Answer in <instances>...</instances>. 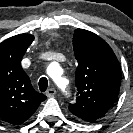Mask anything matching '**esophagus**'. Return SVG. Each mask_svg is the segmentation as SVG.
<instances>
[{"label": "esophagus", "mask_w": 133, "mask_h": 133, "mask_svg": "<svg viewBox=\"0 0 133 133\" xmlns=\"http://www.w3.org/2000/svg\"><path fill=\"white\" fill-rule=\"evenodd\" d=\"M56 94V90L54 88H50L46 91V96L52 97Z\"/></svg>", "instance_id": "1"}]
</instances>
